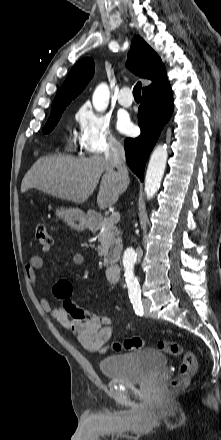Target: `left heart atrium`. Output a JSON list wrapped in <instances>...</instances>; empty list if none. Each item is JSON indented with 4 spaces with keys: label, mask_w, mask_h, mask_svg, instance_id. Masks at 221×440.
<instances>
[{
    "label": "left heart atrium",
    "mask_w": 221,
    "mask_h": 440,
    "mask_svg": "<svg viewBox=\"0 0 221 440\" xmlns=\"http://www.w3.org/2000/svg\"><path fill=\"white\" fill-rule=\"evenodd\" d=\"M118 129L126 134H129L132 131V123L130 122L127 116H121L117 122Z\"/></svg>",
    "instance_id": "obj_1"
}]
</instances>
